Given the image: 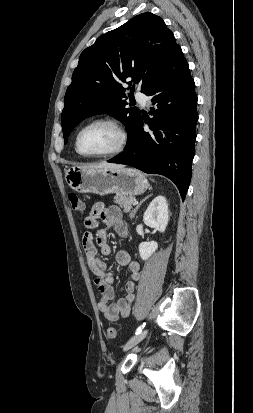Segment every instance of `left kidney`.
Masks as SVG:
<instances>
[{
	"mask_svg": "<svg viewBox=\"0 0 253 413\" xmlns=\"http://www.w3.org/2000/svg\"><path fill=\"white\" fill-rule=\"evenodd\" d=\"M168 204L164 196L155 197L147 207L143 221L159 232H164L168 224ZM158 248L155 241L142 242L139 245V255L142 260H147Z\"/></svg>",
	"mask_w": 253,
	"mask_h": 413,
	"instance_id": "1",
	"label": "left kidney"
}]
</instances>
